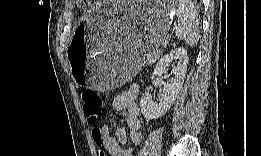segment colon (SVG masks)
<instances>
[{
    "label": "colon",
    "instance_id": "5ec220e1",
    "mask_svg": "<svg viewBox=\"0 0 261 156\" xmlns=\"http://www.w3.org/2000/svg\"><path fill=\"white\" fill-rule=\"evenodd\" d=\"M81 101L87 122L90 124L96 123L102 112L103 106V102L99 94L92 90H85L81 94ZM93 136L96 144L100 146L101 139L98 129L94 131Z\"/></svg>",
    "mask_w": 261,
    "mask_h": 156
}]
</instances>
